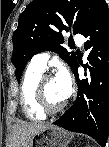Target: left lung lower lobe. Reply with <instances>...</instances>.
<instances>
[{
	"label": "left lung lower lobe",
	"mask_w": 109,
	"mask_h": 147,
	"mask_svg": "<svg viewBox=\"0 0 109 147\" xmlns=\"http://www.w3.org/2000/svg\"><path fill=\"white\" fill-rule=\"evenodd\" d=\"M88 38L85 50H90L88 75L102 76L96 90L90 78L80 79L77 62L73 69L78 82V95L74 104L53 124L71 132L84 133L105 146L109 135V9L104 2L81 32Z\"/></svg>",
	"instance_id": "1"
}]
</instances>
